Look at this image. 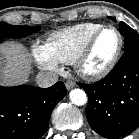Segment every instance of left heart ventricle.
Instances as JSON below:
<instances>
[{"instance_id":"1","label":"left heart ventricle","mask_w":139,"mask_h":139,"mask_svg":"<svg viewBox=\"0 0 139 139\" xmlns=\"http://www.w3.org/2000/svg\"><path fill=\"white\" fill-rule=\"evenodd\" d=\"M117 46L118 37L115 31L109 29L101 33L85 62V68L89 71L103 68L113 57Z\"/></svg>"}]
</instances>
